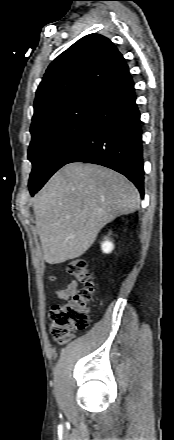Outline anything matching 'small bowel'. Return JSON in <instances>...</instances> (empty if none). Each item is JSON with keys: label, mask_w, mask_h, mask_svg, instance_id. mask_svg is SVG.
Masks as SVG:
<instances>
[{"label": "small bowel", "mask_w": 174, "mask_h": 440, "mask_svg": "<svg viewBox=\"0 0 174 440\" xmlns=\"http://www.w3.org/2000/svg\"><path fill=\"white\" fill-rule=\"evenodd\" d=\"M78 291V283L71 281L65 288L58 289L56 296L60 299H68Z\"/></svg>", "instance_id": "obj_1"}]
</instances>
